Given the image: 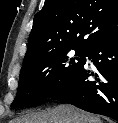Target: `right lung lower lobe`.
<instances>
[{"label": "right lung lower lobe", "mask_w": 118, "mask_h": 123, "mask_svg": "<svg viewBox=\"0 0 118 123\" xmlns=\"http://www.w3.org/2000/svg\"><path fill=\"white\" fill-rule=\"evenodd\" d=\"M86 56L96 70L87 69L85 59L76 74L49 98L118 121V36L97 43ZM90 76L93 80H88Z\"/></svg>", "instance_id": "right-lung-lower-lobe-1"}]
</instances>
